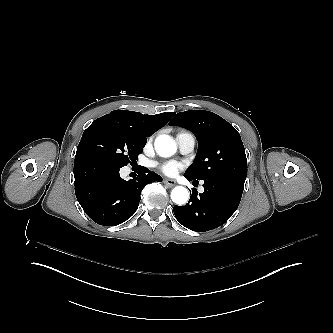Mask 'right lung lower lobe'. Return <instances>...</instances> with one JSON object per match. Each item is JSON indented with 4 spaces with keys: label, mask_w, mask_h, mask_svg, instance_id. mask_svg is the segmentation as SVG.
<instances>
[{
    "label": "right lung lower lobe",
    "mask_w": 333,
    "mask_h": 333,
    "mask_svg": "<svg viewBox=\"0 0 333 333\" xmlns=\"http://www.w3.org/2000/svg\"><path fill=\"white\" fill-rule=\"evenodd\" d=\"M120 168L89 153H78L74 160L75 194L84 212L96 223L116 226L137 210L143 187L162 177L139 167L138 175L126 181Z\"/></svg>",
    "instance_id": "98d812e1"
}]
</instances>
